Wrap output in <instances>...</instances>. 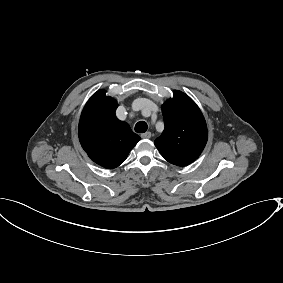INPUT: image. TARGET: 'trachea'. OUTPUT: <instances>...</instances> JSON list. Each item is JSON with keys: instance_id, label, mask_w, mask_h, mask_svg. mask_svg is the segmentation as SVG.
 <instances>
[{"instance_id": "trachea-1", "label": "trachea", "mask_w": 283, "mask_h": 283, "mask_svg": "<svg viewBox=\"0 0 283 283\" xmlns=\"http://www.w3.org/2000/svg\"><path fill=\"white\" fill-rule=\"evenodd\" d=\"M148 129V125L144 121L137 122L135 125V131L137 133H145Z\"/></svg>"}]
</instances>
